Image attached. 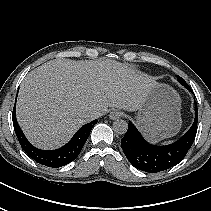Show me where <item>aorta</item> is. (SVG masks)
I'll return each mask as SVG.
<instances>
[{"mask_svg": "<svg viewBox=\"0 0 211 211\" xmlns=\"http://www.w3.org/2000/svg\"><path fill=\"white\" fill-rule=\"evenodd\" d=\"M127 129H128V124L124 120H116L113 123V130L117 134L120 135L125 134L127 132Z\"/></svg>", "mask_w": 211, "mask_h": 211, "instance_id": "obj_1", "label": "aorta"}]
</instances>
